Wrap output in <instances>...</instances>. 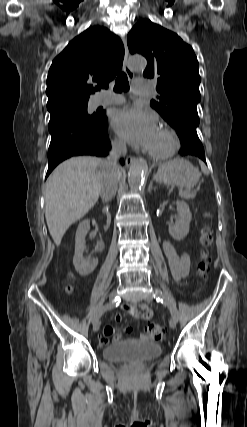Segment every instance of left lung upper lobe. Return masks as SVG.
Wrapping results in <instances>:
<instances>
[{
    "label": "left lung upper lobe",
    "mask_w": 247,
    "mask_h": 427,
    "mask_svg": "<svg viewBox=\"0 0 247 427\" xmlns=\"http://www.w3.org/2000/svg\"><path fill=\"white\" fill-rule=\"evenodd\" d=\"M127 44L131 54L146 57L144 77L158 79L160 96L151 100V106L174 128L180 124L198 127L200 75L192 47L146 19L129 32Z\"/></svg>",
    "instance_id": "1"
}]
</instances>
